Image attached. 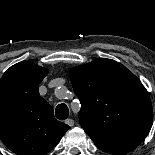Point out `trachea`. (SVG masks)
Listing matches in <instances>:
<instances>
[{"mask_svg":"<svg viewBox=\"0 0 155 155\" xmlns=\"http://www.w3.org/2000/svg\"><path fill=\"white\" fill-rule=\"evenodd\" d=\"M55 115L59 120H65L69 116V109L66 104L62 103L56 107Z\"/></svg>","mask_w":155,"mask_h":155,"instance_id":"trachea-1","label":"trachea"}]
</instances>
